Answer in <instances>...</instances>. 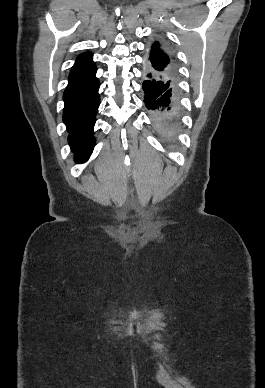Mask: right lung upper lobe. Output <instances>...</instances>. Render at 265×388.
<instances>
[{
  "mask_svg": "<svg viewBox=\"0 0 265 388\" xmlns=\"http://www.w3.org/2000/svg\"><path fill=\"white\" fill-rule=\"evenodd\" d=\"M92 55L91 52H86L78 56L70 72L69 81L84 79L96 73L97 68L92 61Z\"/></svg>",
  "mask_w": 265,
  "mask_h": 388,
  "instance_id": "cb5924a9",
  "label": "right lung upper lobe"
}]
</instances>
